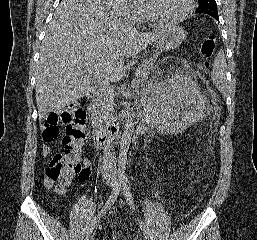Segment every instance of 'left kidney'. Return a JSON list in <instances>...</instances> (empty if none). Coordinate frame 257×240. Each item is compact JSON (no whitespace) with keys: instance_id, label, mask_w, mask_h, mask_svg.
Wrapping results in <instances>:
<instances>
[{"instance_id":"obj_1","label":"left kidney","mask_w":257,"mask_h":240,"mask_svg":"<svg viewBox=\"0 0 257 240\" xmlns=\"http://www.w3.org/2000/svg\"><path fill=\"white\" fill-rule=\"evenodd\" d=\"M148 105L151 121L165 133L182 132L204 113V100L198 87L182 75L154 84L149 91Z\"/></svg>"}]
</instances>
